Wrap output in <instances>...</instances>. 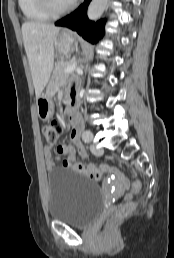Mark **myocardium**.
<instances>
[{
    "instance_id": "f54148a6",
    "label": "myocardium",
    "mask_w": 174,
    "mask_h": 258,
    "mask_svg": "<svg viewBox=\"0 0 174 258\" xmlns=\"http://www.w3.org/2000/svg\"><path fill=\"white\" fill-rule=\"evenodd\" d=\"M41 7L45 10L47 14L51 17H58L67 12H69L74 7V2L59 7L56 5L54 0H39Z\"/></svg>"
}]
</instances>
